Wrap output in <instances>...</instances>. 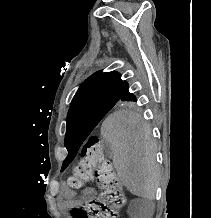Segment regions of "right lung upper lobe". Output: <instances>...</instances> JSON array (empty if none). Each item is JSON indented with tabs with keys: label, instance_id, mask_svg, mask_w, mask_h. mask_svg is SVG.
<instances>
[{
	"label": "right lung upper lobe",
	"instance_id": "cb5924a9",
	"mask_svg": "<svg viewBox=\"0 0 211 218\" xmlns=\"http://www.w3.org/2000/svg\"><path fill=\"white\" fill-rule=\"evenodd\" d=\"M125 87L127 89L128 84L121 80L119 73L115 71L97 72L81 85L70 106L96 100H122L126 91H123Z\"/></svg>",
	"mask_w": 211,
	"mask_h": 218
}]
</instances>
